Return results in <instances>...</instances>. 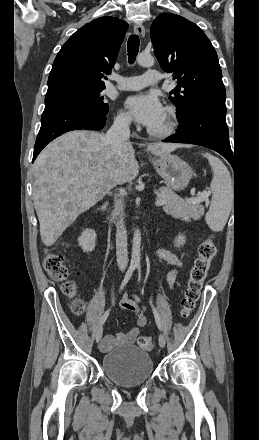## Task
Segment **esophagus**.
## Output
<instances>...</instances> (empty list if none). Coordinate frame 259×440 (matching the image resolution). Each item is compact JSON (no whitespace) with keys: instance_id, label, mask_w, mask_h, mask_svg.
Returning a JSON list of instances; mask_svg holds the SVG:
<instances>
[{"instance_id":"34e87169","label":"esophagus","mask_w":259,"mask_h":440,"mask_svg":"<svg viewBox=\"0 0 259 440\" xmlns=\"http://www.w3.org/2000/svg\"><path fill=\"white\" fill-rule=\"evenodd\" d=\"M134 32H135V34L143 37L145 35L144 26L142 24L136 23L134 25Z\"/></svg>"}]
</instances>
